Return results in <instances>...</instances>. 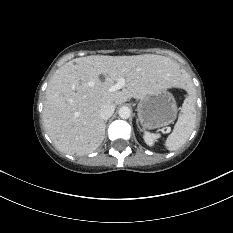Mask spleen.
Here are the masks:
<instances>
[{
	"label": "spleen",
	"mask_w": 233,
	"mask_h": 233,
	"mask_svg": "<svg viewBox=\"0 0 233 233\" xmlns=\"http://www.w3.org/2000/svg\"><path fill=\"white\" fill-rule=\"evenodd\" d=\"M196 108L195 97L189 95L182 105L178 120L172 133L167 137L165 146L169 151L182 147L195 128Z\"/></svg>",
	"instance_id": "obj_1"
}]
</instances>
